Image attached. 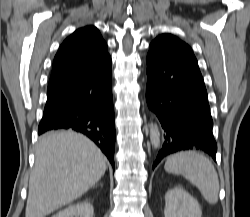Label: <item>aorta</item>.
<instances>
[{
	"instance_id": "762f6f07",
	"label": "aorta",
	"mask_w": 250,
	"mask_h": 217,
	"mask_svg": "<svg viewBox=\"0 0 250 217\" xmlns=\"http://www.w3.org/2000/svg\"><path fill=\"white\" fill-rule=\"evenodd\" d=\"M150 141L154 148H158L160 146V133L157 125H152L150 127Z\"/></svg>"
}]
</instances>
